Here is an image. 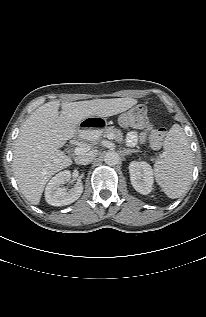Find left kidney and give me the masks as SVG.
Returning <instances> with one entry per match:
<instances>
[{
  "label": "left kidney",
  "instance_id": "5707ae66",
  "mask_svg": "<svg viewBox=\"0 0 206 317\" xmlns=\"http://www.w3.org/2000/svg\"><path fill=\"white\" fill-rule=\"evenodd\" d=\"M129 173L131 184L137 192L147 195L153 190V171L148 163L132 161Z\"/></svg>",
  "mask_w": 206,
  "mask_h": 317
}]
</instances>
